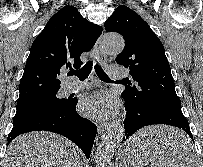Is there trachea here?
<instances>
[{
  "label": "trachea",
  "instance_id": "3493384b",
  "mask_svg": "<svg viewBox=\"0 0 203 167\" xmlns=\"http://www.w3.org/2000/svg\"><path fill=\"white\" fill-rule=\"evenodd\" d=\"M93 66V60L88 61L80 70L78 71H71L68 73L69 76L75 75L79 78V80H85ZM95 72L97 76L104 82H112V80L108 77V75L104 72V70L101 68V66L96 63L94 66Z\"/></svg>",
  "mask_w": 203,
  "mask_h": 167
}]
</instances>
